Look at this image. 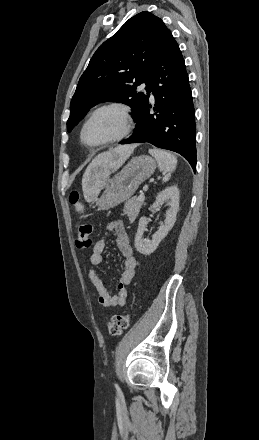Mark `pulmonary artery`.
<instances>
[{
    "label": "pulmonary artery",
    "mask_w": 259,
    "mask_h": 440,
    "mask_svg": "<svg viewBox=\"0 0 259 440\" xmlns=\"http://www.w3.org/2000/svg\"><path fill=\"white\" fill-rule=\"evenodd\" d=\"M146 87V84H142V88H145ZM151 96H152V92H151Z\"/></svg>",
    "instance_id": "1"
}]
</instances>
